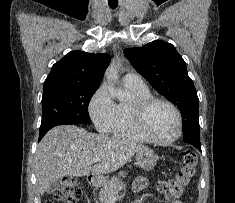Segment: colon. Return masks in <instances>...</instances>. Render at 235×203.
I'll return each instance as SVG.
<instances>
[{
	"label": "colon",
	"mask_w": 235,
	"mask_h": 203,
	"mask_svg": "<svg viewBox=\"0 0 235 203\" xmlns=\"http://www.w3.org/2000/svg\"><path fill=\"white\" fill-rule=\"evenodd\" d=\"M197 157L193 152L184 151L180 166L176 173L165 180L158 182L157 190L168 199H177L195 175ZM82 196V190L74 178L63 180L52 195V200L47 203H78Z\"/></svg>",
	"instance_id": "colon-1"
}]
</instances>
